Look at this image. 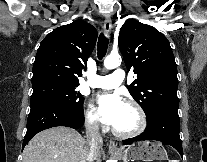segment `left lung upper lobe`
Listing matches in <instances>:
<instances>
[{
  "mask_svg": "<svg viewBox=\"0 0 207 162\" xmlns=\"http://www.w3.org/2000/svg\"><path fill=\"white\" fill-rule=\"evenodd\" d=\"M119 49L127 69L137 74L128 90L147 117L160 105H178L177 67L162 33L129 19L121 27Z\"/></svg>",
  "mask_w": 207,
  "mask_h": 162,
  "instance_id": "1",
  "label": "left lung upper lobe"
}]
</instances>
